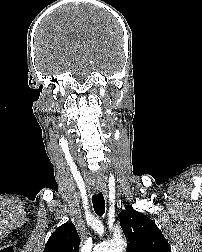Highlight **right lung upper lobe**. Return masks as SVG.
<instances>
[{"mask_svg":"<svg viewBox=\"0 0 202 252\" xmlns=\"http://www.w3.org/2000/svg\"><path fill=\"white\" fill-rule=\"evenodd\" d=\"M80 239L72 223L61 225L50 236L44 252H79Z\"/></svg>","mask_w":202,"mask_h":252,"instance_id":"cb5924a9","label":"right lung upper lobe"}]
</instances>
